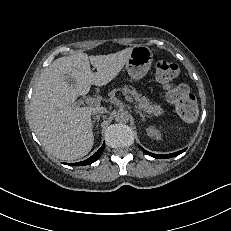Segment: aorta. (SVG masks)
Listing matches in <instances>:
<instances>
[{
    "mask_svg": "<svg viewBox=\"0 0 231 231\" xmlns=\"http://www.w3.org/2000/svg\"><path fill=\"white\" fill-rule=\"evenodd\" d=\"M130 115L127 111L120 110L115 115V121L118 123H127L129 122Z\"/></svg>",
    "mask_w": 231,
    "mask_h": 231,
    "instance_id": "762f6f07",
    "label": "aorta"
}]
</instances>
